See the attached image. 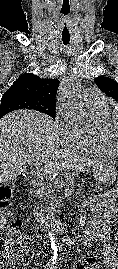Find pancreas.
I'll use <instances>...</instances> for the list:
<instances>
[{"mask_svg":"<svg viewBox=\"0 0 118 269\" xmlns=\"http://www.w3.org/2000/svg\"><path fill=\"white\" fill-rule=\"evenodd\" d=\"M41 190L50 193L51 192V184L48 182H45L44 184H40ZM87 192H102L103 188L99 187L98 182H88L87 183ZM56 204V201L53 200L50 202V206H53Z\"/></svg>","mask_w":118,"mask_h":269,"instance_id":"obj_1","label":"pancreas"}]
</instances>
